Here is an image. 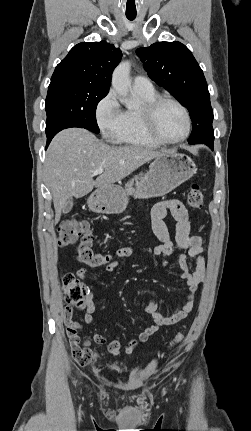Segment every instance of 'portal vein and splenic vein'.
Returning a JSON list of instances; mask_svg holds the SVG:
<instances>
[{
    "instance_id": "1",
    "label": "portal vein and splenic vein",
    "mask_w": 251,
    "mask_h": 431,
    "mask_svg": "<svg viewBox=\"0 0 251 431\" xmlns=\"http://www.w3.org/2000/svg\"><path fill=\"white\" fill-rule=\"evenodd\" d=\"M103 168H98V169H96V170H94L92 173H93V175H98V174H101V173H103Z\"/></svg>"
}]
</instances>
